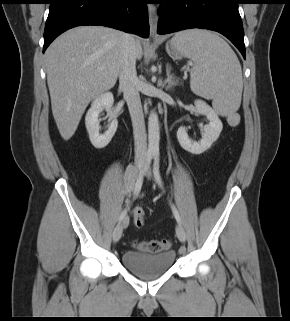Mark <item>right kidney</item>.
Listing matches in <instances>:
<instances>
[{
    "label": "right kidney",
    "instance_id": "right-kidney-1",
    "mask_svg": "<svg viewBox=\"0 0 290 321\" xmlns=\"http://www.w3.org/2000/svg\"><path fill=\"white\" fill-rule=\"evenodd\" d=\"M113 103V94L110 92L103 93L93 100L91 107L86 114L85 125L89 134V139L92 145L97 149L107 146L117 130L118 121L116 116L112 113ZM104 109L110 115L111 123L108 130L104 134H100L98 117Z\"/></svg>",
    "mask_w": 290,
    "mask_h": 321
}]
</instances>
